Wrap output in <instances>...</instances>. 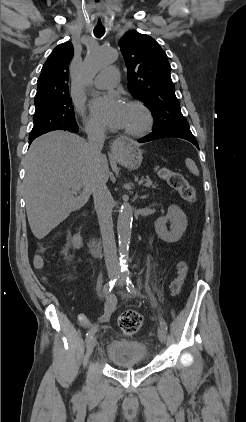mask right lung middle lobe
Masks as SVG:
<instances>
[{
  "label": "right lung middle lobe",
  "mask_w": 246,
  "mask_h": 422,
  "mask_svg": "<svg viewBox=\"0 0 246 422\" xmlns=\"http://www.w3.org/2000/svg\"><path fill=\"white\" fill-rule=\"evenodd\" d=\"M34 126L29 139L54 130H67L77 126L74 109L69 96L37 108L33 116Z\"/></svg>",
  "instance_id": "dd1d6c3e"
}]
</instances>
